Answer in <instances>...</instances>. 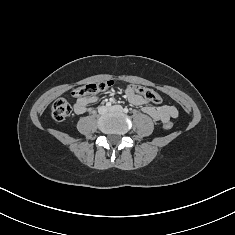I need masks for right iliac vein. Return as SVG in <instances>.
I'll list each match as a JSON object with an SVG mask.
<instances>
[{
  "label": "right iliac vein",
  "mask_w": 235,
  "mask_h": 235,
  "mask_svg": "<svg viewBox=\"0 0 235 235\" xmlns=\"http://www.w3.org/2000/svg\"><path fill=\"white\" fill-rule=\"evenodd\" d=\"M107 111H108V109H107V107H105V106H101V107L99 108V110H98L99 114H101V115L106 114Z\"/></svg>",
  "instance_id": "right-iliac-vein-1"
}]
</instances>
